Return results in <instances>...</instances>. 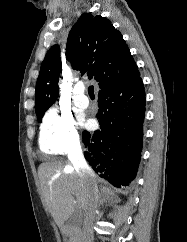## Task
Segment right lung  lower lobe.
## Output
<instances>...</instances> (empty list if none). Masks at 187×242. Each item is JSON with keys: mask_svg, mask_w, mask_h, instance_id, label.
<instances>
[{"mask_svg": "<svg viewBox=\"0 0 187 242\" xmlns=\"http://www.w3.org/2000/svg\"><path fill=\"white\" fill-rule=\"evenodd\" d=\"M98 106L100 130L82 135L85 158L100 177L118 188L127 186L142 150L145 91L140 74L100 91Z\"/></svg>", "mask_w": 187, "mask_h": 242, "instance_id": "right-lung-lower-lobe-1", "label": "right lung lower lobe"}]
</instances>
